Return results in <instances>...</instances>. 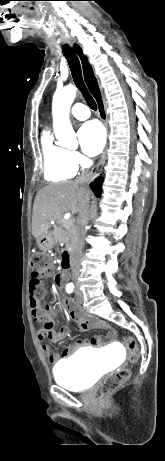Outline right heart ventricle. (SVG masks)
I'll return each instance as SVG.
<instances>
[{
  "label": "right heart ventricle",
  "instance_id": "obj_1",
  "mask_svg": "<svg viewBox=\"0 0 165 461\" xmlns=\"http://www.w3.org/2000/svg\"><path fill=\"white\" fill-rule=\"evenodd\" d=\"M44 177L50 182L69 180L75 176L76 167L67 149L56 144L49 132L41 139Z\"/></svg>",
  "mask_w": 165,
  "mask_h": 461
}]
</instances>
